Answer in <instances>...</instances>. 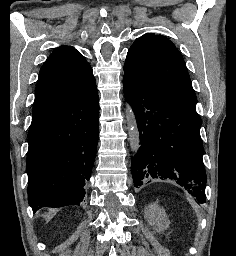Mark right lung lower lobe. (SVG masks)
<instances>
[{"mask_svg":"<svg viewBox=\"0 0 236 256\" xmlns=\"http://www.w3.org/2000/svg\"><path fill=\"white\" fill-rule=\"evenodd\" d=\"M96 83L32 119L28 133V201L42 207L80 205L99 132Z\"/></svg>","mask_w":236,"mask_h":256,"instance_id":"right-lung-lower-lobe-1","label":"right lung lower lobe"}]
</instances>
